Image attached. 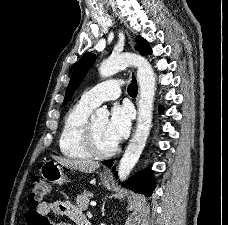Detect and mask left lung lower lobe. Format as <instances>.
I'll return each instance as SVG.
<instances>
[{
    "label": "left lung lower lobe",
    "mask_w": 228,
    "mask_h": 225,
    "mask_svg": "<svg viewBox=\"0 0 228 225\" xmlns=\"http://www.w3.org/2000/svg\"><path fill=\"white\" fill-rule=\"evenodd\" d=\"M102 163L107 167H111L113 165L112 161H102ZM112 170L117 177L115 166L112 167ZM121 184L137 193H143L146 196H150L155 187V182L152 178V172L149 169L143 173L134 175L130 180Z\"/></svg>",
    "instance_id": "1"
}]
</instances>
